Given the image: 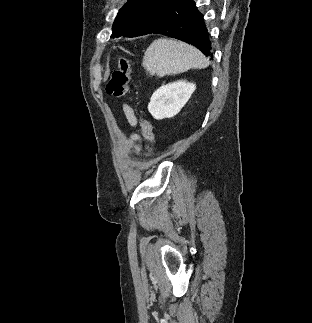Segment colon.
I'll use <instances>...</instances> for the list:
<instances>
[{"label":"colon","mask_w":312,"mask_h":323,"mask_svg":"<svg viewBox=\"0 0 312 323\" xmlns=\"http://www.w3.org/2000/svg\"><path fill=\"white\" fill-rule=\"evenodd\" d=\"M131 61L128 57L122 56L118 61V69H116L111 79L109 80L106 90L110 96L115 98H121L126 96L131 89L129 83V75L131 73ZM141 133L143 139L152 144L155 141V135L152 123L146 120H142L141 122Z\"/></svg>","instance_id":"5ec220e1"}]
</instances>
